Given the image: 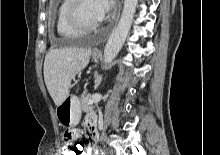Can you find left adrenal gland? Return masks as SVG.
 <instances>
[{
	"label": "left adrenal gland",
	"mask_w": 220,
	"mask_h": 155,
	"mask_svg": "<svg viewBox=\"0 0 220 155\" xmlns=\"http://www.w3.org/2000/svg\"><path fill=\"white\" fill-rule=\"evenodd\" d=\"M102 80V76L98 75L97 73L95 74V90L98 88Z\"/></svg>",
	"instance_id": "obj_1"
}]
</instances>
